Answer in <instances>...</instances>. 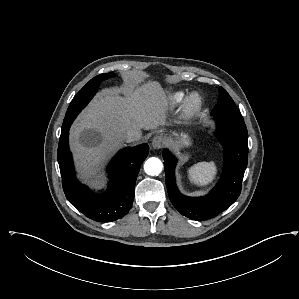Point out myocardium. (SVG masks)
Listing matches in <instances>:
<instances>
[{
    "mask_svg": "<svg viewBox=\"0 0 299 299\" xmlns=\"http://www.w3.org/2000/svg\"><path fill=\"white\" fill-rule=\"evenodd\" d=\"M202 106V99L198 93L190 94L184 103V110L187 114H195Z\"/></svg>",
    "mask_w": 299,
    "mask_h": 299,
    "instance_id": "f54148a6",
    "label": "myocardium"
}]
</instances>
